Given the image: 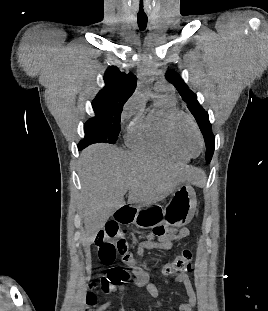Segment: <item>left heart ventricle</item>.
I'll use <instances>...</instances> for the list:
<instances>
[{"instance_id":"obj_1","label":"left heart ventricle","mask_w":268,"mask_h":311,"mask_svg":"<svg viewBox=\"0 0 268 311\" xmlns=\"http://www.w3.org/2000/svg\"><path fill=\"white\" fill-rule=\"evenodd\" d=\"M176 136L179 144L190 154H197L200 149L199 138L191 124L186 119H180L176 126Z\"/></svg>"}]
</instances>
